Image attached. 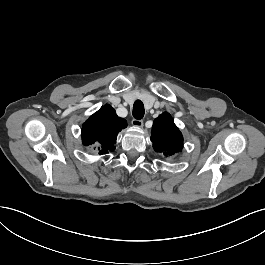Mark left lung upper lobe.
<instances>
[{"label": "left lung upper lobe", "instance_id": "left-lung-upper-lobe-1", "mask_svg": "<svg viewBox=\"0 0 265 265\" xmlns=\"http://www.w3.org/2000/svg\"><path fill=\"white\" fill-rule=\"evenodd\" d=\"M151 141L156 152L172 156L182 150L183 136L169 113H163L155 119Z\"/></svg>", "mask_w": 265, "mask_h": 265}]
</instances>
